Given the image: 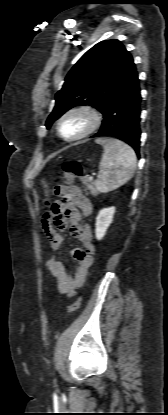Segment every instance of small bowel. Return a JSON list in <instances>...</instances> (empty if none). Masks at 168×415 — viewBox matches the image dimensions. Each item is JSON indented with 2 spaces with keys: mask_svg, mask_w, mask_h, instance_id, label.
I'll list each match as a JSON object with an SVG mask.
<instances>
[{
  "mask_svg": "<svg viewBox=\"0 0 168 415\" xmlns=\"http://www.w3.org/2000/svg\"><path fill=\"white\" fill-rule=\"evenodd\" d=\"M53 196L60 199L51 205L53 223L63 230L68 228L72 235L82 245V248L72 250V256L77 261V268L72 275L67 272L65 265L56 257L48 259L46 267L55 279L58 291L67 296H73L85 282L89 268L93 263L95 245L89 225L82 224L83 217L92 212V203L76 186H58L53 189ZM43 227L53 251H58L63 243V236L52 225L51 221L43 220Z\"/></svg>",
  "mask_w": 168,
  "mask_h": 415,
  "instance_id": "small-bowel-1",
  "label": "small bowel"
}]
</instances>
